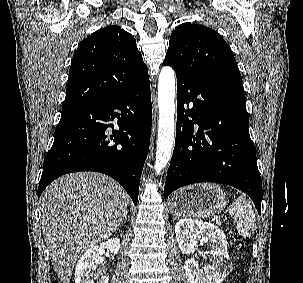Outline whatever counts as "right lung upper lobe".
Returning <instances> with one entry per match:
<instances>
[{
  "label": "right lung upper lobe",
  "instance_id": "right-lung-upper-lobe-1",
  "mask_svg": "<svg viewBox=\"0 0 303 283\" xmlns=\"http://www.w3.org/2000/svg\"><path fill=\"white\" fill-rule=\"evenodd\" d=\"M149 79L134 37L109 25L85 38L69 71L62 113L126 93Z\"/></svg>",
  "mask_w": 303,
  "mask_h": 283
}]
</instances>
